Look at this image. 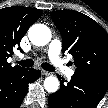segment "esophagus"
<instances>
[{"label":"esophagus","instance_id":"esophagus-1","mask_svg":"<svg viewBox=\"0 0 108 108\" xmlns=\"http://www.w3.org/2000/svg\"><path fill=\"white\" fill-rule=\"evenodd\" d=\"M41 73H42V75H45V76L52 75L51 72H48V71H45V70H42Z\"/></svg>","mask_w":108,"mask_h":108}]
</instances>
